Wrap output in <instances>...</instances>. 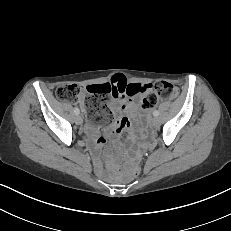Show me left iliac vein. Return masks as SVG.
I'll list each match as a JSON object with an SVG mask.
<instances>
[{"instance_id":"4c4485c4","label":"left iliac vein","mask_w":231,"mask_h":231,"mask_svg":"<svg viewBox=\"0 0 231 231\" xmlns=\"http://www.w3.org/2000/svg\"><path fill=\"white\" fill-rule=\"evenodd\" d=\"M152 125H153L154 127L160 126V119H159L158 117H154V118L152 119Z\"/></svg>"}]
</instances>
